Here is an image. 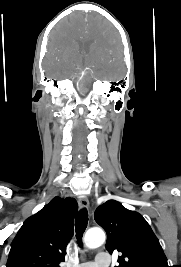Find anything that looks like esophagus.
Wrapping results in <instances>:
<instances>
[{
    "mask_svg": "<svg viewBox=\"0 0 181 267\" xmlns=\"http://www.w3.org/2000/svg\"><path fill=\"white\" fill-rule=\"evenodd\" d=\"M78 203H79V206L81 208H86V209L89 208V200L86 197L80 198L79 201H78Z\"/></svg>",
    "mask_w": 181,
    "mask_h": 267,
    "instance_id": "34e87169",
    "label": "esophagus"
}]
</instances>
